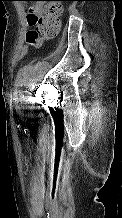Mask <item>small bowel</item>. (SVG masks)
Instances as JSON below:
<instances>
[{
  "instance_id": "c3829d8e",
  "label": "small bowel",
  "mask_w": 122,
  "mask_h": 218,
  "mask_svg": "<svg viewBox=\"0 0 122 218\" xmlns=\"http://www.w3.org/2000/svg\"><path fill=\"white\" fill-rule=\"evenodd\" d=\"M44 5L43 4H35L30 8V11L41 15L43 13Z\"/></svg>"
}]
</instances>
